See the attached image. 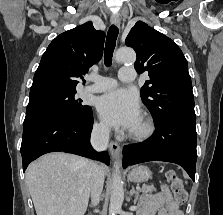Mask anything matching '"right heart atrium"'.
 Here are the masks:
<instances>
[{
    "instance_id": "obj_1",
    "label": "right heart atrium",
    "mask_w": 223,
    "mask_h": 215,
    "mask_svg": "<svg viewBox=\"0 0 223 215\" xmlns=\"http://www.w3.org/2000/svg\"><path fill=\"white\" fill-rule=\"evenodd\" d=\"M94 130L98 135H104L108 131L107 127L103 123H96L94 125Z\"/></svg>"
}]
</instances>
